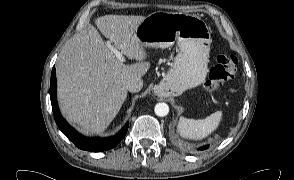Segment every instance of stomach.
<instances>
[{"label":"stomach","mask_w":294,"mask_h":180,"mask_svg":"<svg viewBox=\"0 0 294 180\" xmlns=\"http://www.w3.org/2000/svg\"><path fill=\"white\" fill-rule=\"evenodd\" d=\"M145 47L167 48L177 43L180 52L159 88L163 96H178L201 84L208 72L210 29L197 15L154 12L137 27Z\"/></svg>","instance_id":"obj_1"}]
</instances>
